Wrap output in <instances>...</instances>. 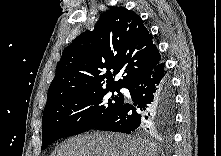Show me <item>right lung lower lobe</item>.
<instances>
[{"label":"right lung lower lobe","instance_id":"1","mask_svg":"<svg viewBox=\"0 0 221 156\" xmlns=\"http://www.w3.org/2000/svg\"><path fill=\"white\" fill-rule=\"evenodd\" d=\"M133 103L122 106L94 128L131 133L139 128L171 127L174 121L175 99L171 80L164 63L147 71L126 85Z\"/></svg>","mask_w":221,"mask_h":156}]
</instances>
